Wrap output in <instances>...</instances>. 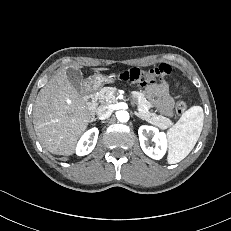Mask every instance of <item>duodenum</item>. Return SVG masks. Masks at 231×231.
Masks as SVG:
<instances>
[{
  "instance_id": "1",
  "label": "duodenum",
  "mask_w": 231,
  "mask_h": 231,
  "mask_svg": "<svg viewBox=\"0 0 231 231\" xmlns=\"http://www.w3.org/2000/svg\"><path fill=\"white\" fill-rule=\"evenodd\" d=\"M84 100L89 108L93 110L95 108V93L93 84H86L83 91Z\"/></svg>"
}]
</instances>
